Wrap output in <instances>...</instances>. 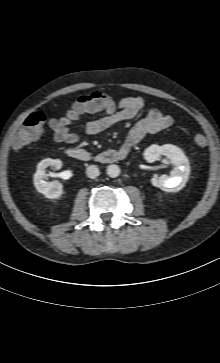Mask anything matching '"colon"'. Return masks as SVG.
Segmentation results:
<instances>
[{
	"label": "colon",
	"instance_id": "1",
	"mask_svg": "<svg viewBox=\"0 0 220 363\" xmlns=\"http://www.w3.org/2000/svg\"><path fill=\"white\" fill-rule=\"evenodd\" d=\"M91 96L101 103L111 99L110 96L104 92H94ZM46 120L47 115L43 111L30 113L22 122L21 127L14 138L13 147L15 149H20L37 139L42 134ZM194 143L199 147H204L207 144V137L203 133H197L194 136Z\"/></svg>",
	"mask_w": 220,
	"mask_h": 363
}]
</instances>
